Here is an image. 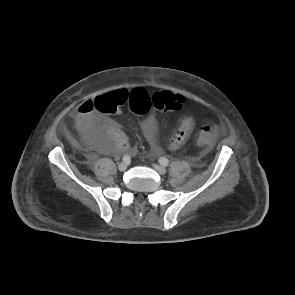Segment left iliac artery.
<instances>
[{"instance_id":"left-iliac-artery-1","label":"left iliac artery","mask_w":295,"mask_h":295,"mask_svg":"<svg viewBox=\"0 0 295 295\" xmlns=\"http://www.w3.org/2000/svg\"><path fill=\"white\" fill-rule=\"evenodd\" d=\"M159 163H160L161 165H163V166H168V164H169V160H168L167 158H165V157H160V158H159Z\"/></svg>"}]
</instances>
